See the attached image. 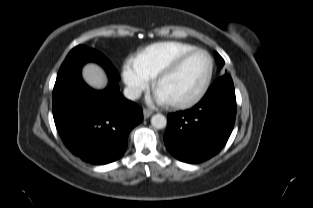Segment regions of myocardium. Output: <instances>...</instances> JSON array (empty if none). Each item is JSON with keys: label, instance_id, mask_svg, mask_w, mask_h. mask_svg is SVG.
<instances>
[{"label": "myocardium", "instance_id": "myocardium-1", "mask_svg": "<svg viewBox=\"0 0 313 208\" xmlns=\"http://www.w3.org/2000/svg\"><path fill=\"white\" fill-rule=\"evenodd\" d=\"M196 53H202L204 54L209 62V69L206 76V79L201 86L200 90L191 98L186 100H178V101H170L167 102V104L173 108L177 109H183L191 107L195 104H197L207 93L214 74V60L212 56L204 49L201 48H195L193 50L187 51L182 53L180 56H178L168 67L163 69L156 77L153 83V88L157 92L159 86L162 84L164 80L175 74L183 65V63L192 55Z\"/></svg>", "mask_w": 313, "mask_h": 208}]
</instances>
